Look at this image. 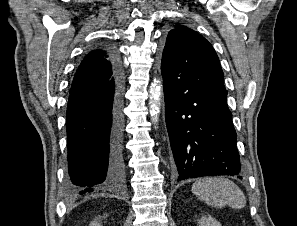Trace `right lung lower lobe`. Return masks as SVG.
Instances as JSON below:
<instances>
[{
	"label": "right lung lower lobe",
	"instance_id": "98d812e1",
	"mask_svg": "<svg viewBox=\"0 0 297 226\" xmlns=\"http://www.w3.org/2000/svg\"><path fill=\"white\" fill-rule=\"evenodd\" d=\"M113 62L111 82L71 93L68 99L66 128L71 194L118 185L124 178L122 77L117 61L114 59Z\"/></svg>",
	"mask_w": 297,
	"mask_h": 226
}]
</instances>
